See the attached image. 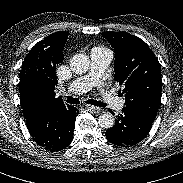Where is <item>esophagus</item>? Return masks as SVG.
<instances>
[{
	"label": "esophagus",
	"instance_id": "1",
	"mask_svg": "<svg viewBox=\"0 0 183 183\" xmlns=\"http://www.w3.org/2000/svg\"><path fill=\"white\" fill-rule=\"evenodd\" d=\"M85 108L92 113H100L101 112V108L95 107L92 105H85Z\"/></svg>",
	"mask_w": 183,
	"mask_h": 183
}]
</instances>
